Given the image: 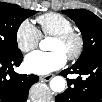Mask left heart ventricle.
Returning <instances> with one entry per match:
<instances>
[{"label": "left heart ventricle", "mask_w": 102, "mask_h": 102, "mask_svg": "<svg viewBox=\"0 0 102 102\" xmlns=\"http://www.w3.org/2000/svg\"><path fill=\"white\" fill-rule=\"evenodd\" d=\"M75 47V43L71 42L67 45L61 44L58 42L56 39H54L51 43L50 49L52 51H59L61 52L64 56H66L68 53H70Z\"/></svg>", "instance_id": "1"}]
</instances>
